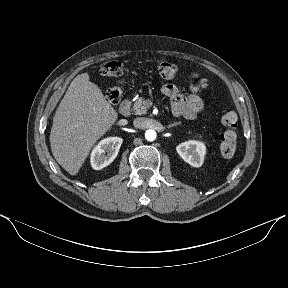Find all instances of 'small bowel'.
I'll use <instances>...</instances> for the list:
<instances>
[{
	"label": "small bowel",
	"mask_w": 288,
	"mask_h": 288,
	"mask_svg": "<svg viewBox=\"0 0 288 288\" xmlns=\"http://www.w3.org/2000/svg\"><path fill=\"white\" fill-rule=\"evenodd\" d=\"M191 94L184 95L174 84H165L161 91L171 101L172 111L177 116L194 119L204 109V101L195 86L190 87Z\"/></svg>",
	"instance_id": "1"
}]
</instances>
